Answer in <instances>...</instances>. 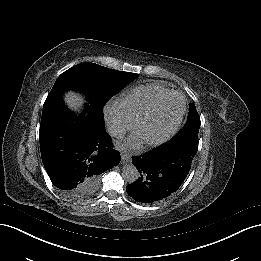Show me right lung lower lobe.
<instances>
[{
	"label": "right lung lower lobe",
	"mask_w": 261,
	"mask_h": 261,
	"mask_svg": "<svg viewBox=\"0 0 261 261\" xmlns=\"http://www.w3.org/2000/svg\"><path fill=\"white\" fill-rule=\"evenodd\" d=\"M87 117L70 124L72 113L62 92L51 91L43 105L39 131L43 165L51 182L64 193L77 195L91 189L98 175L120 162L106 133L102 107L91 103Z\"/></svg>",
	"instance_id": "obj_1"
}]
</instances>
